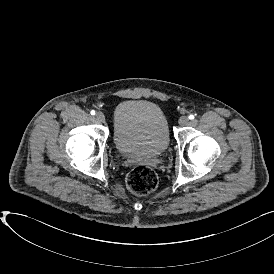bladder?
I'll list each match as a JSON object with an SVG mask.
<instances>
[{"label":"bladder","instance_id":"31cf9c89","mask_svg":"<svg viewBox=\"0 0 274 274\" xmlns=\"http://www.w3.org/2000/svg\"><path fill=\"white\" fill-rule=\"evenodd\" d=\"M113 142L126 157L163 153L170 145L168 119L163 109L147 99L122 101L113 113Z\"/></svg>","mask_w":274,"mask_h":274}]
</instances>
